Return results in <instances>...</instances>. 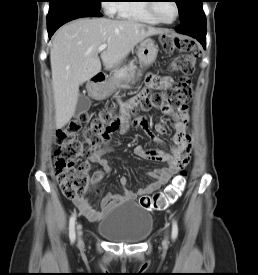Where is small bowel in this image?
I'll list each match as a JSON object with an SVG mask.
<instances>
[{"label":"small bowel","mask_w":258,"mask_h":275,"mask_svg":"<svg viewBox=\"0 0 258 275\" xmlns=\"http://www.w3.org/2000/svg\"><path fill=\"white\" fill-rule=\"evenodd\" d=\"M157 80L159 83H156ZM172 84L173 79L170 76L159 78L153 74H148L147 86L142 90L139 97H146L150 89L158 88L159 86L161 88H169ZM169 114L173 119L175 128V133L171 136V141L173 143L171 152H166L162 148L148 149L141 145H136L133 148V153L137 157L151 161L165 162L166 166L156 168L150 172L148 175L153 180L137 190L128 189V179L124 176L120 177L119 183L123 191L121 193L106 194L100 200L99 209L92 206L85 198L82 200H73L83 216L90 221H97L115 207L125 203H131L139 196L149 195L155 192L164 186L179 169L188 163L192 149V140L188 132V105L184 103L176 111H170ZM133 125L141 128L150 139L158 144H161L159 135L167 134V130L163 124L157 123L152 125L144 118L136 119L133 122ZM125 130L126 125L123 122L119 131L125 132ZM111 152H113V148L108 145H106L102 150L90 152L88 157L90 167L92 165L99 166V169H97L91 177L93 185L98 186L105 175L112 172V166L106 157V155Z\"/></svg>","instance_id":"1"}]
</instances>
